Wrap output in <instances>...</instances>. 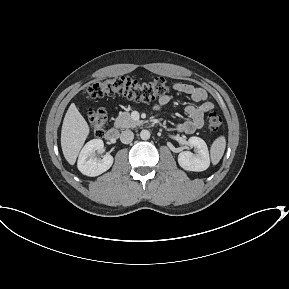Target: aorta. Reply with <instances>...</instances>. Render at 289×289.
I'll use <instances>...</instances> for the list:
<instances>
[{"label":"aorta","instance_id":"1","mask_svg":"<svg viewBox=\"0 0 289 289\" xmlns=\"http://www.w3.org/2000/svg\"><path fill=\"white\" fill-rule=\"evenodd\" d=\"M140 138L142 140H148L150 138V132L148 130H142L140 132Z\"/></svg>","mask_w":289,"mask_h":289}]
</instances>
